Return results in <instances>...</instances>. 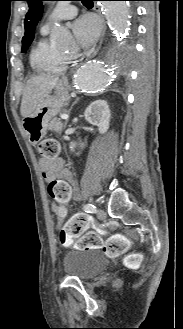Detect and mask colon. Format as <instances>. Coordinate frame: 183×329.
<instances>
[{
	"instance_id": "obj_1",
	"label": "colon",
	"mask_w": 183,
	"mask_h": 329,
	"mask_svg": "<svg viewBox=\"0 0 183 329\" xmlns=\"http://www.w3.org/2000/svg\"><path fill=\"white\" fill-rule=\"evenodd\" d=\"M39 154L47 160H54L60 152L59 143L54 139H45L38 146ZM50 195V194H49ZM58 211H60L58 209ZM92 226L89 224L87 217L78 215L68 221L60 231L61 240H77V246L81 249L102 248L104 253L111 258L123 255L128 249V240L123 235H112L105 242L95 232L91 231ZM142 261L139 253L128 254L124 257L123 262L129 267H135Z\"/></svg>"
}]
</instances>
